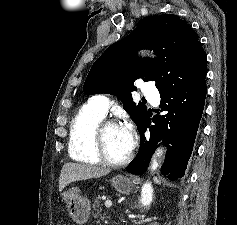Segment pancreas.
<instances>
[{
  "label": "pancreas",
  "mask_w": 237,
  "mask_h": 225,
  "mask_svg": "<svg viewBox=\"0 0 237 225\" xmlns=\"http://www.w3.org/2000/svg\"><path fill=\"white\" fill-rule=\"evenodd\" d=\"M92 208H93L94 210H96V208L101 209V197H100V196H97V197L94 199V203H93Z\"/></svg>",
  "instance_id": "cf45deb5"
}]
</instances>
